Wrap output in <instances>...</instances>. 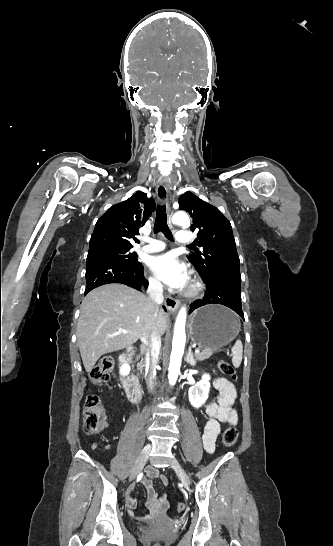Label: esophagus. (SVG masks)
Here are the masks:
<instances>
[{
  "instance_id": "34e87169",
  "label": "esophagus",
  "mask_w": 333,
  "mask_h": 546,
  "mask_svg": "<svg viewBox=\"0 0 333 546\" xmlns=\"http://www.w3.org/2000/svg\"><path fill=\"white\" fill-rule=\"evenodd\" d=\"M157 201L159 203H165L167 207L168 218H171V210L168 202L169 185L166 181H161L156 189ZM165 306L170 314H175L180 306V301L172 298L171 296H165Z\"/></svg>"
}]
</instances>
